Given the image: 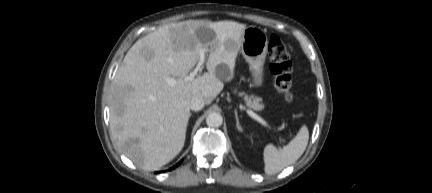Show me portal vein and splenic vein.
<instances>
[{"instance_id":"18ae733b","label":"portal vein and splenic vein","mask_w":432,"mask_h":193,"mask_svg":"<svg viewBox=\"0 0 432 193\" xmlns=\"http://www.w3.org/2000/svg\"><path fill=\"white\" fill-rule=\"evenodd\" d=\"M204 62H205V50L201 49L199 51V61H198V64L195 67V69L189 74V76L186 77L187 81H192L195 78V76L197 75V73L202 69V66H203ZM166 82L170 86H175L177 84V81L174 78H167ZM247 113L249 114V116H251L256 121L260 122L262 125L268 126L267 122L262 117H260L256 113H254L252 110H247Z\"/></svg>"}]
</instances>
